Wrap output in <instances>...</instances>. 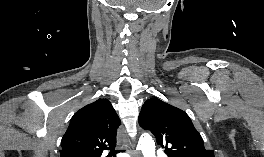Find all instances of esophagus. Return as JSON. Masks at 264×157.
<instances>
[{
	"label": "esophagus",
	"mask_w": 264,
	"mask_h": 157,
	"mask_svg": "<svg viewBox=\"0 0 264 157\" xmlns=\"http://www.w3.org/2000/svg\"><path fill=\"white\" fill-rule=\"evenodd\" d=\"M131 145V141L128 140V146ZM132 154H133V157H140V154L138 151L136 150H131Z\"/></svg>",
	"instance_id": "1"
}]
</instances>
